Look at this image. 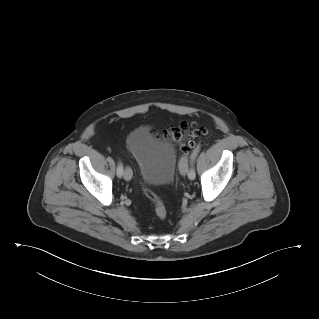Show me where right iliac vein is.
I'll list each match as a JSON object with an SVG mask.
<instances>
[{
	"label": "right iliac vein",
	"instance_id": "obj_1",
	"mask_svg": "<svg viewBox=\"0 0 319 319\" xmlns=\"http://www.w3.org/2000/svg\"><path fill=\"white\" fill-rule=\"evenodd\" d=\"M132 175H133V173H132L131 168L127 166L125 168V171H124V179L127 181L131 180Z\"/></svg>",
	"mask_w": 319,
	"mask_h": 319
}]
</instances>
